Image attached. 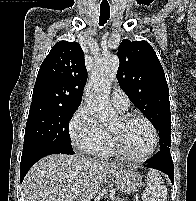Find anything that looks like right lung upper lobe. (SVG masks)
I'll use <instances>...</instances> for the list:
<instances>
[{"label": "right lung upper lobe", "mask_w": 196, "mask_h": 201, "mask_svg": "<svg viewBox=\"0 0 196 201\" xmlns=\"http://www.w3.org/2000/svg\"><path fill=\"white\" fill-rule=\"evenodd\" d=\"M87 80L84 53L77 42L56 43L40 66L32 103L80 105Z\"/></svg>", "instance_id": "obj_1"}]
</instances>
